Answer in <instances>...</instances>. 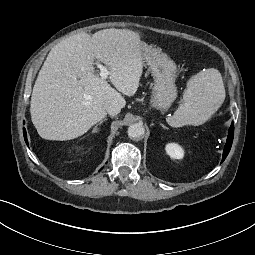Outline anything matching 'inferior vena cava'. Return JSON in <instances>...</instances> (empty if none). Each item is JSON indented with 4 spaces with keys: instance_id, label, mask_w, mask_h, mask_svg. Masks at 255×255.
Listing matches in <instances>:
<instances>
[{
    "instance_id": "inferior-vena-cava-1",
    "label": "inferior vena cava",
    "mask_w": 255,
    "mask_h": 255,
    "mask_svg": "<svg viewBox=\"0 0 255 255\" xmlns=\"http://www.w3.org/2000/svg\"><path fill=\"white\" fill-rule=\"evenodd\" d=\"M104 107L106 112L111 116L117 115L121 111L120 105L115 100H107L104 103Z\"/></svg>"
}]
</instances>
